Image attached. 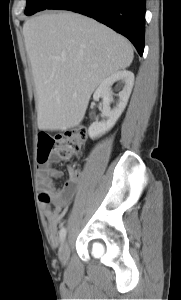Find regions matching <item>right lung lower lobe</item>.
<instances>
[{"label":"right lung lower lobe","mask_w":181,"mask_h":300,"mask_svg":"<svg viewBox=\"0 0 181 300\" xmlns=\"http://www.w3.org/2000/svg\"><path fill=\"white\" fill-rule=\"evenodd\" d=\"M47 9L74 11L127 37L139 55L144 51L145 0H56Z\"/></svg>","instance_id":"right-lung-lower-lobe-1"}]
</instances>
